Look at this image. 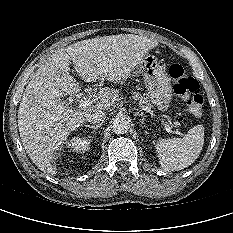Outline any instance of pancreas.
<instances>
[{"label":"pancreas","instance_id":"pancreas-1","mask_svg":"<svg viewBox=\"0 0 233 233\" xmlns=\"http://www.w3.org/2000/svg\"><path fill=\"white\" fill-rule=\"evenodd\" d=\"M133 98L137 99L140 104L145 105L148 109H150L152 107V105L149 103L148 99L137 92L133 93Z\"/></svg>","mask_w":233,"mask_h":233}]
</instances>
